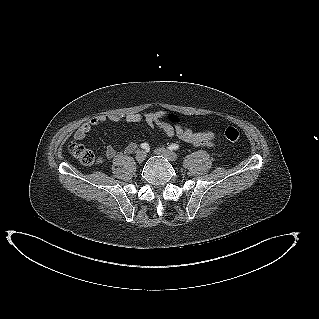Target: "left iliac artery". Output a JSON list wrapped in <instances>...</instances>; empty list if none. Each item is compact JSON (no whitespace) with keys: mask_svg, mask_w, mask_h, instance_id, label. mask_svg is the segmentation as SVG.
<instances>
[{"mask_svg":"<svg viewBox=\"0 0 319 319\" xmlns=\"http://www.w3.org/2000/svg\"><path fill=\"white\" fill-rule=\"evenodd\" d=\"M171 150H178L179 149V145L178 144H171L169 147Z\"/></svg>","mask_w":319,"mask_h":319,"instance_id":"obj_1","label":"left iliac artery"}]
</instances>
